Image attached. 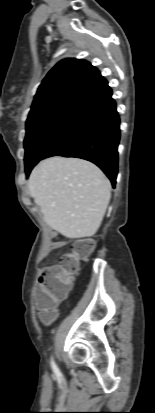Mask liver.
<instances>
[{
	"label": "liver",
	"instance_id": "obj_1",
	"mask_svg": "<svg viewBox=\"0 0 155 413\" xmlns=\"http://www.w3.org/2000/svg\"><path fill=\"white\" fill-rule=\"evenodd\" d=\"M28 188L46 224L71 239L97 232L111 198L108 178L79 158L41 161L30 174Z\"/></svg>",
	"mask_w": 155,
	"mask_h": 413
}]
</instances>
